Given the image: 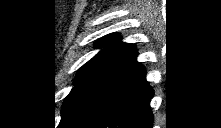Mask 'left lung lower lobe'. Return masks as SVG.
<instances>
[{"instance_id":"0a47b994","label":"left lung lower lobe","mask_w":221,"mask_h":128,"mask_svg":"<svg viewBox=\"0 0 221 128\" xmlns=\"http://www.w3.org/2000/svg\"><path fill=\"white\" fill-rule=\"evenodd\" d=\"M140 64L62 128H152L153 90Z\"/></svg>"}]
</instances>
